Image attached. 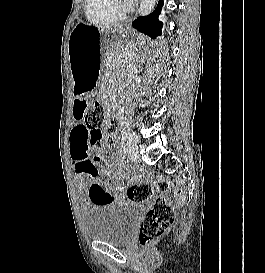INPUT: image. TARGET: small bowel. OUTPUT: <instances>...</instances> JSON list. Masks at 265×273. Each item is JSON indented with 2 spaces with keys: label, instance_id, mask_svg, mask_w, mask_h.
<instances>
[{
  "label": "small bowel",
  "instance_id": "small-bowel-1",
  "mask_svg": "<svg viewBox=\"0 0 265 273\" xmlns=\"http://www.w3.org/2000/svg\"><path fill=\"white\" fill-rule=\"evenodd\" d=\"M88 99H75V104L72 105L74 110L70 111L74 115L77 123L72 129L70 135V155L72 165L75 169L79 187L83 190V203L87 204H113L114 200L121 199L122 195L116 193L114 189L104 190V186L100 183L98 177V169L96 163L89 157V131L86 126L80 122L87 112ZM101 165V172L112 177V182H121L119 175L112 173V167L105 164L103 161L98 163ZM90 182V183H89ZM89 183V190L87 184Z\"/></svg>",
  "mask_w": 265,
  "mask_h": 273
}]
</instances>
